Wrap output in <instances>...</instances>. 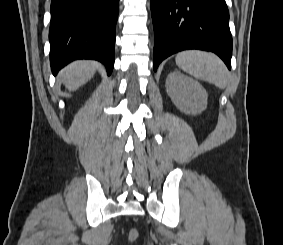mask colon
Listing matches in <instances>:
<instances>
[{"label":"colon","instance_id":"colon-1","mask_svg":"<svg viewBox=\"0 0 283 245\" xmlns=\"http://www.w3.org/2000/svg\"><path fill=\"white\" fill-rule=\"evenodd\" d=\"M139 231L136 228H133L128 233V240L133 242L138 239Z\"/></svg>","mask_w":283,"mask_h":245}]
</instances>
